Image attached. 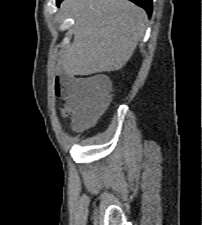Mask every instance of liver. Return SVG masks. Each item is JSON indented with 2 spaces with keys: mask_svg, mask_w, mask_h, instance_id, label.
<instances>
[{
  "mask_svg": "<svg viewBox=\"0 0 202 225\" xmlns=\"http://www.w3.org/2000/svg\"><path fill=\"white\" fill-rule=\"evenodd\" d=\"M61 9L74 21V40L61 57L70 75L121 69L144 35L148 17L129 0H66Z\"/></svg>",
  "mask_w": 202,
  "mask_h": 225,
  "instance_id": "liver-1",
  "label": "liver"
}]
</instances>
